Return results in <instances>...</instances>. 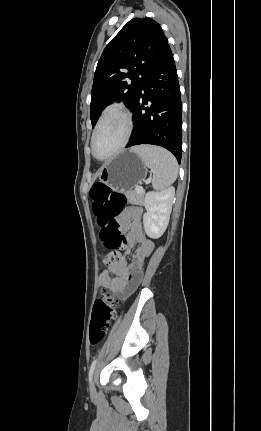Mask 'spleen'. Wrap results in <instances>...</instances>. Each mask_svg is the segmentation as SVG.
I'll return each mask as SVG.
<instances>
[{
	"label": "spleen",
	"mask_w": 261,
	"mask_h": 431,
	"mask_svg": "<svg viewBox=\"0 0 261 431\" xmlns=\"http://www.w3.org/2000/svg\"><path fill=\"white\" fill-rule=\"evenodd\" d=\"M146 167L153 171V187L158 191H165L177 178L178 164L175 157L166 149L140 145L132 148Z\"/></svg>",
	"instance_id": "obj_1"
}]
</instances>
